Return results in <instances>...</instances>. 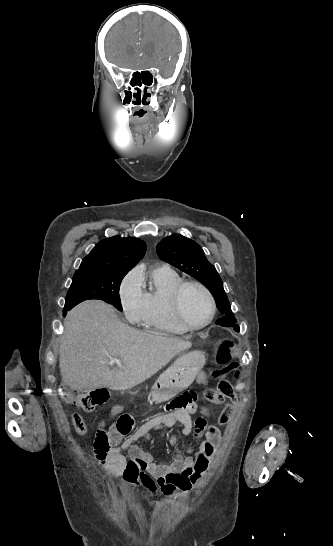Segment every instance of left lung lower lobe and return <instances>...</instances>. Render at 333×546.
<instances>
[{"instance_id":"0a47b994","label":"left lung lower lobe","mask_w":333,"mask_h":546,"mask_svg":"<svg viewBox=\"0 0 333 546\" xmlns=\"http://www.w3.org/2000/svg\"><path fill=\"white\" fill-rule=\"evenodd\" d=\"M236 321H237L236 319H230V318H227V317H223L222 319H219L216 323L218 325H221V326H224V327L232 326L235 331L239 332V326L235 325Z\"/></svg>"}]
</instances>
